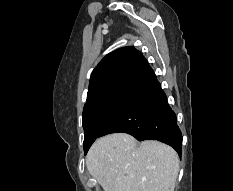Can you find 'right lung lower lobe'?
I'll return each mask as SVG.
<instances>
[{"label":"right lung lower lobe","mask_w":233,"mask_h":191,"mask_svg":"<svg viewBox=\"0 0 233 191\" xmlns=\"http://www.w3.org/2000/svg\"><path fill=\"white\" fill-rule=\"evenodd\" d=\"M126 105L103 129L99 137L124 132L137 140H158L172 146L180 155L182 134L176 115L167 103L152 68L148 65L128 89Z\"/></svg>","instance_id":"right-lung-lower-lobe-1"}]
</instances>
